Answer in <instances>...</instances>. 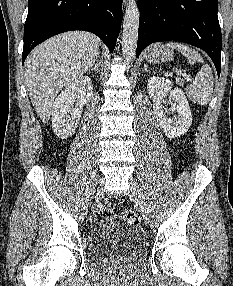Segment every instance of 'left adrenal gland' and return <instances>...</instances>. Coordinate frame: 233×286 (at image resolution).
<instances>
[{"instance_id": "obj_1", "label": "left adrenal gland", "mask_w": 233, "mask_h": 286, "mask_svg": "<svg viewBox=\"0 0 233 286\" xmlns=\"http://www.w3.org/2000/svg\"><path fill=\"white\" fill-rule=\"evenodd\" d=\"M143 72H145V71H150L149 69H148V65L147 64H144V68H143V70H142Z\"/></svg>"}]
</instances>
